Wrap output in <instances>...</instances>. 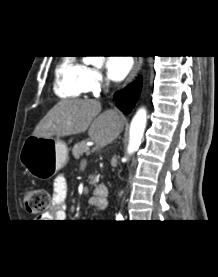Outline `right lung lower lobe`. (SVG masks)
Wrapping results in <instances>:
<instances>
[{
    "label": "right lung lower lobe",
    "mask_w": 218,
    "mask_h": 277,
    "mask_svg": "<svg viewBox=\"0 0 218 277\" xmlns=\"http://www.w3.org/2000/svg\"><path fill=\"white\" fill-rule=\"evenodd\" d=\"M142 81L141 78L136 80L134 83L130 84L127 88L122 91V95L119 93H115V96L122 97L121 105H119V109L123 111L125 114H128L132 108L134 107L141 91Z\"/></svg>",
    "instance_id": "obj_1"
}]
</instances>
